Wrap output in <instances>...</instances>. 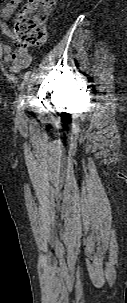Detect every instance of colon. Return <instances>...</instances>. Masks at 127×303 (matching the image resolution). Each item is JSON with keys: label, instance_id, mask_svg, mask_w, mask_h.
<instances>
[{"label": "colon", "instance_id": "5ec220e1", "mask_svg": "<svg viewBox=\"0 0 127 303\" xmlns=\"http://www.w3.org/2000/svg\"><path fill=\"white\" fill-rule=\"evenodd\" d=\"M56 3L57 0H28L18 13L11 33L12 40L18 48L37 47L45 43L46 22Z\"/></svg>", "mask_w": 127, "mask_h": 303}]
</instances>
